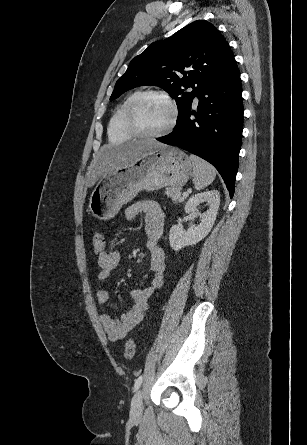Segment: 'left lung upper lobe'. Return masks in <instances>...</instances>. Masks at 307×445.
Returning <instances> with one entry per match:
<instances>
[{"instance_id": "obj_1", "label": "left lung upper lobe", "mask_w": 307, "mask_h": 445, "mask_svg": "<svg viewBox=\"0 0 307 445\" xmlns=\"http://www.w3.org/2000/svg\"><path fill=\"white\" fill-rule=\"evenodd\" d=\"M232 58L226 40L211 23L194 21L173 36L152 43L136 56L116 82L110 100L134 87H162L176 99L178 123L191 109L194 97L222 72ZM188 87L194 90L184 93L182 88Z\"/></svg>"}]
</instances>
